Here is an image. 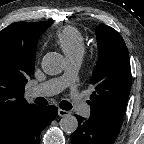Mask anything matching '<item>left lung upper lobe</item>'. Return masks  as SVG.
I'll use <instances>...</instances> for the list:
<instances>
[{
    "mask_svg": "<svg viewBox=\"0 0 144 144\" xmlns=\"http://www.w3.org/2000/svg\"><path fill=\"white\" fill-rule=\"evenodd\" d=\"M99 58L90 83V119L119 131L131 89L128 49L121 35L113 28H96Z\"/></svg>",
    "mask_w": 144,
    "mask_h": 144,
    "instance_id": "obj_1",
    "label": "left lung upper lobe"
}]
</instances>
